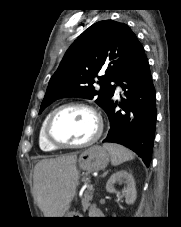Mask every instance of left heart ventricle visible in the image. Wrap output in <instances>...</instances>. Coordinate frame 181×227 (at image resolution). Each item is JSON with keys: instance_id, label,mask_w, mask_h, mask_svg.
<instances>
[{"instance_id": "left-heart-ventricle-1", "label": "left heart ventricle", "mask_w": 181, "mask_h": 227, "mask_svg": "<svg viewBox=\"0 0 181 227\" xmlns=\"http://www.w3.org/2000/svg\"><path fill=\"white\" fill-rule=\"evenodd\" d=\"M96 122L92 114L82 108H67L55 118L52 133L66 143H81L93 136Z\"/></svg>"}]
</instances>
